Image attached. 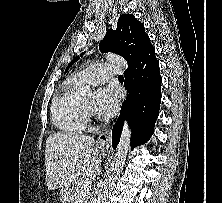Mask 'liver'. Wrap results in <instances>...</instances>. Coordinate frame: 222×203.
<instances>
[{
	"mask_svg": "<svg viewBox=\"0 0 222 203\" xmlns=\"http://www.w3.org/2000/svg\"><path fill=\"white\" fill-rule=\"evenodd\" d=\"M90 136L55 133L46 140L45 167L48 190L62 188L70 196L74 182L92 179L101 164V155Z\"/></svg>",
	"mask_w": 222,
	"mask_h": 203,
	"instance_id": "6515ba94",
	"label": "liver"
}]
</instances>
